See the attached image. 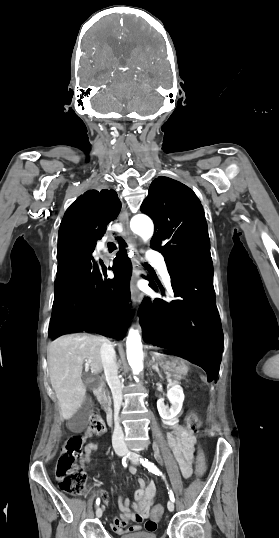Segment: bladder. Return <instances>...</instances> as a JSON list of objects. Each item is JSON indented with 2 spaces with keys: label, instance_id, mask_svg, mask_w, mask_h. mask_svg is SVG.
Wrapping results in <instances>:
<instances>
[{
  "label": "bladder",
  "instance_id": "bladder-1",
  "mask_svg": "<svg viewBox=\"0 0 279 538\" xmlns=\"http://www.w3.org/2000/svg\"><path fill=\"white\" fill-rule=\"evenodd\" d=\"M122 538H156L155 532H123Z\"/></svg>",
  "mask_w": 279,
  "mask_h": 538
}]
</instances>
